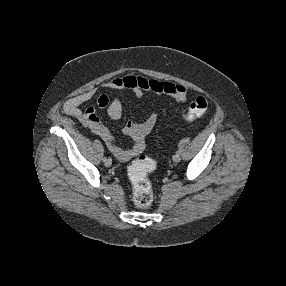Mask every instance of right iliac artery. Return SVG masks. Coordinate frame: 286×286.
I'll return each mask as SVG.
<instances>
[{
	"label": "right iliac artery",
	"instance_id": "82829eb1",
	"mask_svg": "<svg viewBox=\"0 0 286 286\" xmlns=\"http://www.w3.org/2000/svg\"><path fill=\"white\" fill-rule=\"evenodd\" d=\"M102 160H103V162H105V161L107 160V158H106V157H104Z\"/></svg>",
	"mask_w": 286,
	"mask_h": 286
}]
</instances>
